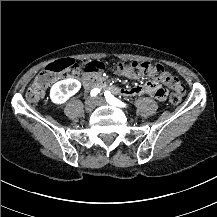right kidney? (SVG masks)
Wrapping results in <instances>:
<instances>
[{"instance_id":"right-kidney-1","label":"right kidney","mask_w":217,"mask_h":217,"mask_svg":"<svg viewBox=\"0 0 217 217\" xmlns=\"http://www.w3.org/2000/svg\"><path fill=\"white\" fill-rule=\"evenodd\" d=\"M81 87V82L76 78L60 80L52 85L50 89V100L56 105L64 104L71 96L77 94Z\"/></svg>"}]
</instances>
